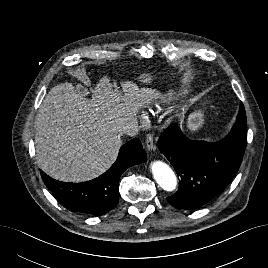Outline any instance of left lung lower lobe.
Segmentation results:
<instances>
[{
  "instance_id": "left-lung-lower-lobe-1",
  "label": "left lung lower lobe",
  "mask_w": 268,
  "mask_h": 268,
  "mask_svg": "<svg viewBox=\"0 0 268 268\" xmlns=\"http://www.w3.org/2000/svg\"><path fill=\"white\" fill-rule=\"evenodd\" d=\"M240 107H244L242 103ZM158 147L181 177L177 192L166 200L178 209H196L231 182L246 145L238 141L236 133L217 142L193 141L172 123L161 134Z\"/></svg>"
}]
</instances>
